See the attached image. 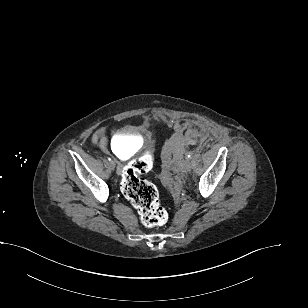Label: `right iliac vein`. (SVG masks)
Segmentation results:
<instances>
[{
	"label": "right iliac vein",
	"mask_w": 308,
	"mask_h": 308,
	"mask_svg": "<svg viewBox=\"0 0 308 308\" xmlns=\"http://www.w3.org/2000/svg\"><path fill=\"white\" fill-rule=\"evenodd\" d=\"M109 164H110V167H111L112 169L115 168V162H114V161H110Z\"/></svg>",
	"instance_id": "1"
}]
</instances>
